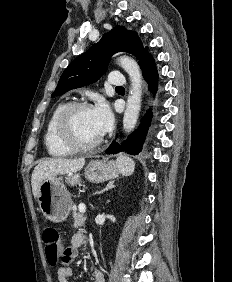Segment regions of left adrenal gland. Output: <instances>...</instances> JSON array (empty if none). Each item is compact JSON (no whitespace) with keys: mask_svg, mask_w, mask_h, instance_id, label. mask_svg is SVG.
Masks as SVG:
<instances>
[{"mask_svg":"<svg viewBox=\"0 0 232 282\" xmlns=\"http://www.w3.org/2000/svg\"><path fill=\"white\" fill-rule=\"evenodd\" d=\"M114 187H115L114 181H110L104 189H102L101 191L98 192V194H103L104 192H106V191H108V190H110Z\"/></svg>","mask_w":232,"mask_h":282,"instance_id":"1","label":"left adrenal gland"}]
</instances>
